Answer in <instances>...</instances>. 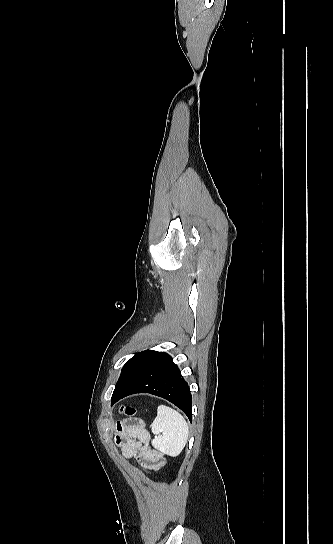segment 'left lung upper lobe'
<instances>
[{
    "label": "left lung upper lobe",
    "instance_id": "left-lung-upper-lobe-1",
    "mask_svg": "<svg viewBox=\"0 0 333 544\" xmlns=\"http://www.w3.org/2000/svg\"><path fill=\"white\" fill-rule=\"evenodd\" d=\"M156 353L158 352L153 350H146L137 353L131 359H129L122 369V373L115 386L114 392L119 391L123 387H125Z\"/></svg>",
    "mask_w": 333,
    "mask_h": 544
}]
</instances>
